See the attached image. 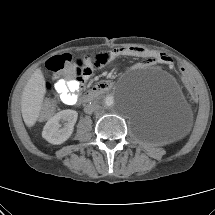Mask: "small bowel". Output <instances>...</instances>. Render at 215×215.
Masks as SVG:
<instances>
[{
    "instance_id": "small-bowel-1",
    "label": "small bowel",
    "mask_w": 215,
    "mask_h": 215,
    "mask_svg": "<svg viewBox=\"0 0 215 215\" xmlns=\"http://www.w3.org/2000/svg\"><path fill=\"white\" fill-rule=\"evenodd\" d=\"M120 57L142 58L143 61L137 63L135 66L155 65L157 63H171V58L167 54L142 47H118L108 51L99 52L94 56L88 55L82 61H80L85 64L86 69L79 76L70 82L65 81L64 78L56 80L55 89L61 102L66 105L76 104L80 91L89 81L93 72L102 69Z\"/></svg>"
}]
</instances>
